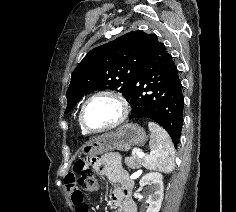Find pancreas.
I'll return each instance as SVG.
<instances>
[{"label":"pancreas","instance_id":"cf45deb5","mask_svg":"<svg viewBox=\"0 0 236 212\" xmlns=\"http://www.w3.org/2000/svg\"><path fill=\"white\" fill-rule=\"evenodd\" d=\"M125 164L130 169H138V168H141L142 165L144 164V159L139 158L137 155H134L132 157H126Z\"/></svg>","mask_w":236,"mask_h":212}]
</instances>
